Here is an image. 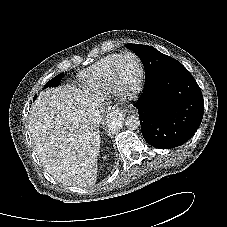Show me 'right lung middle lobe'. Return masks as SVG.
I'll return each mask as SVG.
<instances>
[{
    "label": "right lung middle lobe",
    "instance_id": "obj_1",
    "mask_svg": "<svg viewBox=\"0 0 227 227\" xmlns=\"http://www.w3.org/2000/svg\"><path fill=\"white\" fill-rule=\"evenodd\" d=\"M63 73H61V74H59V75H57V76H55L53 79H51L50 81H48L47 82V84L45 85V88L46 87H56V86H58L59 85V83L61 82V79H62V77H63ZM34 99H35V97H34Z\"/></svg>",
    "mask_w": 227,
    "mask_h": 227
}]
</instances>
